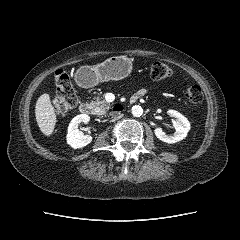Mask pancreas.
I'll list each match as a JSON object with an SVG mask.
<instances>
[{
	"label": "pancreas",
	"instance_id": "1",
	"mask_svg": "<svg viewBox=\"0 0 240 240\" xmlns=\"http://www.w3.org/2000/svg\"><path fill=\"white\" fill-rule=\"evenodd\" d=\"M92 107L95 109L97 115H104L111 108L112 104L107 103L105 100H101L99 97L92 101Z\"/></svg>",
	"mask_w": 240,
	"mask_h": 240
}]
</instances>
